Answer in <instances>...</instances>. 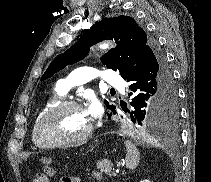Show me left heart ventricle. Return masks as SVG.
<instances>
[{
    "label": "left heart ventricle",
    "mask_w": 211,
    "mask_h": 182,
    "mask_svg": "<svg viewBox=\"0 0 211 182\" xmlns=\"http://www.w3.org/2000/svg\"><path fill=\"white\" fill-rule=\"evenodd\" d=\"M91 121L85 111L79 108H67L52 117L44 127L48 140L69 139L82 135Z\"/></svg>",
    "instance_id": "b2bd125f"
}]
</instances>
